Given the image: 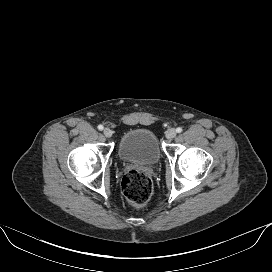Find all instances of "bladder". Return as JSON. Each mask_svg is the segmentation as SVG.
Instances as JSON below:
<instances>
[{
  "instance_id": "bladder-1",
  "label": "bladder",
  "mask_w": 272,
  "mask_h": 272,
  "mask_svg": "<svg viewBox=\"0 0 272 272\" xmlns=\"http://www.w3.org/2000/svg\"><path fill=\"white\" fill-rule=\"evenodd\" d=\"M117 153L124 162L153 165L161 158V146L156 134L146 128L132 129L120 139Z\"/></svg>"
}]
</instances>
